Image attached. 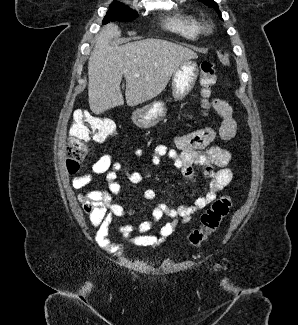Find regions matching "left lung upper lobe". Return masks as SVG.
Segmentation results:
<instances>
[{
    "label": "left lung upper lobe",
    "instance_id": "1",
    "mask_svg": "<svg viewBox=\"0 0 298 325\" xmlns=\"http://www.w3.org/2000/svg\"><path fill=\"white\" fill-rule=\"evenodd\" d=\"M199 1L204 2V3H205L206 5H208L209 7L215 8L216 11L219 13V17L222 18V17H221V12L219 11V9H218V5H217L216 2H214L213 0H199Z\"/></svg>",
    "mask_w": 298,
    "mask_h": 325
}]
</instances>
